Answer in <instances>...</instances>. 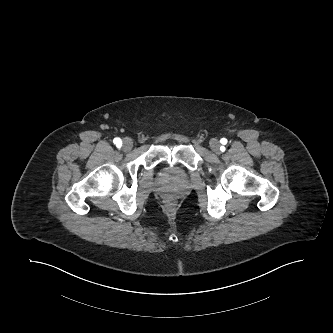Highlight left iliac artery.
I'll use <instances>...</instances> for the list:
<instances>
[{
    "label": "left iliac artery",
    "instance_id": "44dca946",
    "mask_svg": "<svg viewBox=\"0 0 333 333\" xmlns=\"http://www.w3.org/2000/svg\"><path fill=\"white\" fill-rule=\"evenodd\" d=\"M223 145H225L227 143V139L226 138H222L220 141Z\"/></svg>",
    "mask_w": 333,
    "mask_h": 333
}]
</instances>
